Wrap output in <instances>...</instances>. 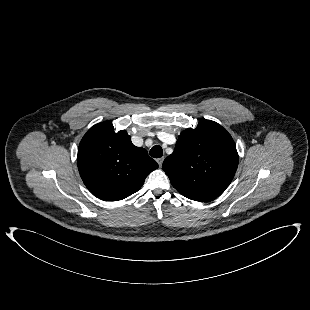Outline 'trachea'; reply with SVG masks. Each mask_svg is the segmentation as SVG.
I'll use <instances>...</instances> for the list:
<instances>
[{
    "label": "trachea",
    "instance_id": "trachea-1",
    "mask_svg": "<svg viewBox=\"0 0 310 310\" xmlns=\"http://www.w3.org/2000/svg\"><path fill=\"white\" fill-rule=\"evenodd\" d=\"M149 154L153 158H160L163 155V150H162L161 146L155 145L151 148Z\"/></svg>",
    "mask_w": 310,
    "mask_h": 310
}]
</instances>
